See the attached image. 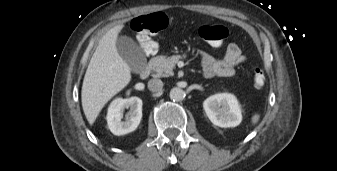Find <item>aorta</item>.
Here are the masks:
<instances>
[{
	"mask_svg": "<svg viewBox=\"0 0 337 171\" xmlns=\"http://www.w3.org/2000/svg\"><path fill=\"white\" fill-rule=\"evenodd\" d=\"M169 96L171 100L178 102L183 100L184 91L181 88L174 87L171 89Z\"/></svg>",
	"mask_w": 337,
	"mask_h": 171,
	"instance_id": "aorta-1",
	"label": "aorta"
}]
</instances>
